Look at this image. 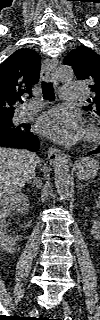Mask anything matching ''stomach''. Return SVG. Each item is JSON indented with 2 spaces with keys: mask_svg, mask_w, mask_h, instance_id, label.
Wrapping results in <instances>:
<instances>
[{
  "mask_svg": "<svg viewBox=\"0 0 100 320\" xmlns=\"http://www.w3.org/2000/svg\"><path fill=\"white\" fill-rule=\"evenodd\" d=\"M99 168V161L91 157L82 158L74 165L76 176L80 180H90L94 178Z\"/></svg>",
  "mask_w": 100,
  "mask_h": 320,
  "instance_id": "0dacf381",
  "label": "stomach"
}]
</instances>
